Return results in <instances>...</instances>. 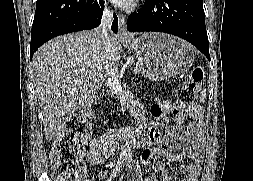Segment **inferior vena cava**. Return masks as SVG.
I'll list each match as a JSON object with an SVG mask.
<instances>
[{
    "label": "inferior vena cava",
    "instance_id": "inferior-vena-cava-1",
    "mask_svg": "<svg viewBox=\"0 0 253 181\" xmlns=\"http://www.w3.org/2000/svg\"><path fill=\"white\" fill-rule=\"evenodd\" d=\"M112 20V12L110 11L109 7L106 6L103 10L101 25L95 30V32L100 37L107 51H110L112 49L111 39L108 36Z\"/></svg>",
    "mask_w": 253,
    "mask_h": 181
}]
</instances>
